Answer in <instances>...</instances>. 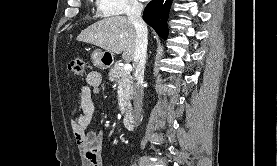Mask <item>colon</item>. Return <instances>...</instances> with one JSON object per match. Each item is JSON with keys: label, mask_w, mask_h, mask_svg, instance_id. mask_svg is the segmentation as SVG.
I'll return each instance as SVG.
<instances>
[{"label": "colon", "mask_w": 277, "mask_h": 166, "mask_svg": "<svg viewBox=\"0 0 277 166\" xmlns=\"http://www.w3.org/2000/svg\"><path fill=\"white\" fill-rule=\"evenodd\" d=\"M69 69L77 76L85 73V59L83 56H75L69 63Z\"/></svg>", "instance_id": "colon-1"}]
</instances>
